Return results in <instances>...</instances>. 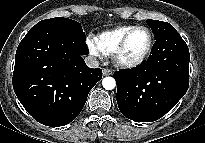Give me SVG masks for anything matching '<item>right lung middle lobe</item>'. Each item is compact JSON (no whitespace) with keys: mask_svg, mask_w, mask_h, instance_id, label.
<instances>
[{"mask_svg":"<svg viewBox=\"0 0 205 143\" xmlns=\"http://www.w3.org/2000/svg\"><path fill=\"white\" fill-rule=\"evenodd\" d=\"M41 25H52L60 29H63L66 32L82 40H85L86 38L85 33L82 30L81 24L68 18L56 17V18L42 20L36 24V26H41Z\"/></svg>","mask_w":205,"mask_h":143,"instance_id":"dd1d6c3e","label":"right lung middle lobe"}]
</instances>
